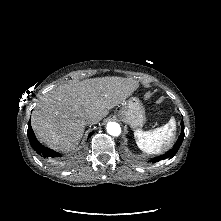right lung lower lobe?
I'll list each match as a JSON object with an SVG mask.
<instances>
[{
	"label": "right lung lower lobe",
	"mask_w": 221,
	"mask_h": 221,
	"mask_svg": "<svg viewBox=\"0 0 221 221\" xmlns=\"http://www.w3.org/2000/svg\"><path fill=\"white\" fill-rule=\"evenodd\" d=\"M93 134L90 133L89 137ZM27 135L31 144V147L38 153L40 154L42 157L44 158H48V159H52L55 157H61V155L51 149H48L46 147H44L41 143L38 142V140L36 139L34 132L32 130L30 121L28 123V131H27Z\"/></svg>",
	"instance_id": "obj_1"
}]
</instances>
